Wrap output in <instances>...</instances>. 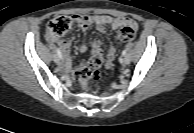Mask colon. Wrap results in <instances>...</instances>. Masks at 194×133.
Instances as JSON below:
<instances>
[{
	"mask_svg": "<svg viewBox=\"0 0 194 133\" xmlns=\"http://www.w3.org/2000/svg\"><path fill=\"white\" fill-rule=\"evenodd\" d=\"M72 19L68 16H59L52 19L47 25V33L52 37L64 35L71 27ZM135 31L130 27L123 28L119 34L120 41L128 42L135 38ZM103 63V53L100 48L92 49L90 59L77 67L74 71V77L82 84H86L88 79L98 80L100 78V68Z\"/></svg>",
	"mask_w": 194,
	"mask_h": 133,
	"instance_id": "5ec220e1",
	"label": "colon"
}]
</instances>
